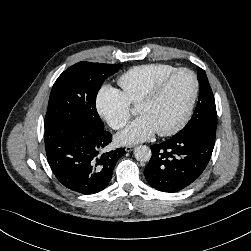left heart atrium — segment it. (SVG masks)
<instances>
[{
  "instance_id": "left-heart-atrium-1",
  "label": "left heart atrium",
  "mask_w": 251,
  "mask_h": 251,
  "mask_svg": "<svg viewBox=\"0 0 251 251\" xmlns=\"http://www.w3.org/2000/svg\"><path fill=\"white\" fill-rule=\"evenodd\" d=\"M155 132L150 120L146 116H139L117 135V141L122 145L135 144L151 138Z\"/></svg>"
}]
</instances>
